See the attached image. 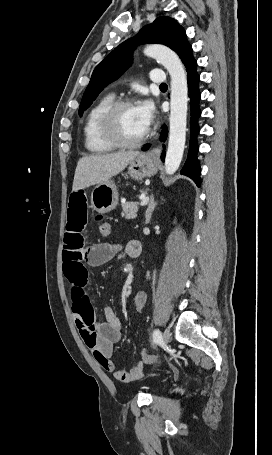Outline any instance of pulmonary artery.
I'll return each instance as SVG.
<instances>
[{
	"label": "pulmonary artery",
	"mask_w": 272,
	"mask_h": 455,
	"mask_svg": "<svg viewBox=\"0 0 272 455\" xmlns=\"http://www.w3.org/2000/svg\"><path fill=\"white\" fill-rule=\"evenodd\" d=\"M149 78L152 82L162 84L165 82V74L159 69H154L150 72Z\"/></svg>",
	"instance_id": "obj_1"
}]
</instances>
